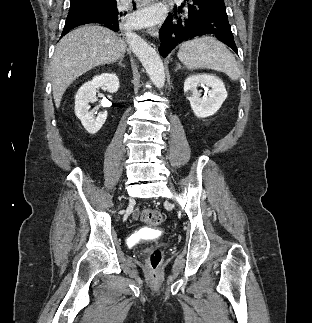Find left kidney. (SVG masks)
<instances>
[{"mask_svg": "<svg viewBox=\"0 0 312 323\" xmlns=\"http://www.w3.org/2000/svg\"><path fill=\"white\" fill-rule=\"evenodd\" d=\"M208 90L205 96L198 92L197 88ZM184 94L191 104V108L197 118H208L216 114L227 98L225 86L216 76L209 74H198V76H189L184 82ZM202 96V98H201Z\"/></svg>", "mask_w": 312, "mask_h": 323, "instance_id": "obj_1", "label": "left kidney"}]
</instances>
